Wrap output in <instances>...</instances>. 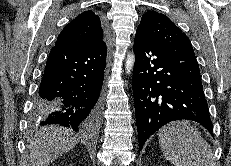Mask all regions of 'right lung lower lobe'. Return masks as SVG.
Wrapping results in <instances>:
<instances>
[{
  "label": "right lung lower lobe",
  "instance_id": "1",
  "mask_svg": "<svg viewBox=\"0 0 231 166\" xmlns=\"http://www.w3.org/2000/svg\"><path fill=\"white\" fill-rule=\"evenodd\" d=\"M106 44L85 50L53 47L34 103L36 121L83 134L101 117Z\"/></svg>",
  "mask_w": 231,
  "mask_h": 166
}]
</instances>
